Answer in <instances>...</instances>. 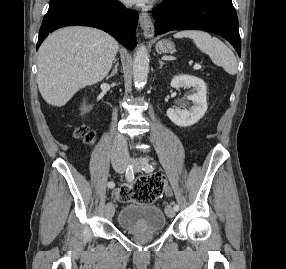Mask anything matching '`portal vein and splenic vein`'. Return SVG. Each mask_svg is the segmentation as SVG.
I'll return each mask as SVG.
<instances>
[{"mask_svg": "<svg viewBox=\"0 0 286 269\" xmlns=\"http://www.w3.org/2000/svg\"><path fill=\"white\" fill-rule=\"evenodd\" d=\"M201 68V65L199 64V63H196L195 65H194V69L195 70H198V69H200Z\"/></svg>", "mask_w": 286, "mask_h": 269, "instance_id": "1", "label": "portal vein and splenic vein"}]
</instances>
